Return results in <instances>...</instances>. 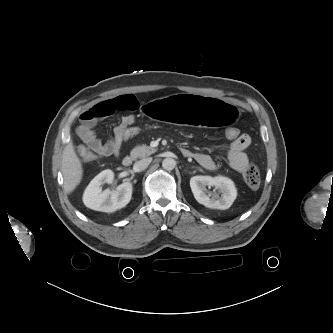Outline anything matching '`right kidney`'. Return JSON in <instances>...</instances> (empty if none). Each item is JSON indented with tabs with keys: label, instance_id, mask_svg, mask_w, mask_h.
<instances>
[{
	"label": "right kidney",
	"instance_id": "ca27d5eb",
	"mask_svg": "<svg viewBox=\"0 0 333 333\" xmlns=\"http://www.w3.org/2000/svg\"><path fill=\"white\" fill-rule=\"evenodd\" d=\"M114 173L112 170H104L89 183L83 194V202L86 207L102 212H114L125 207L131 200L132 183L124 182L115 191L101 190V185L112 183Z\"/></svg>",
	"mask_w": 333,
	"mask_h": 333
}]
</instances>
